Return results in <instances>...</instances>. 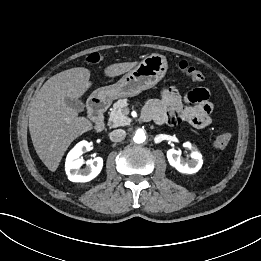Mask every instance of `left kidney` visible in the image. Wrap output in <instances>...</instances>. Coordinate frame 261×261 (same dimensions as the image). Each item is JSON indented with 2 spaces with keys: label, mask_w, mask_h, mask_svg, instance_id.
<instances>
[{
  "label": "left kidney",
  "mask_w": 261,
  "mask_h": 261,
  "mask_svg": "<svg viewBox=\"0 0 261 261\" xmlns=\"http://www.w3.org/2000/svg\"><path fill=\"white\" fill-rule=\"evenodd\" d=\"M184 147L192 151L191 159L185 161L180 157L177 150L169 149L167 151V159L169 161V164L180 173L193 174L198 172L203 164L201 153L195 147H193L190 142L184 143Z\"/></svg>",
  "instance_id": "5707ae66"
}]
</instances>
